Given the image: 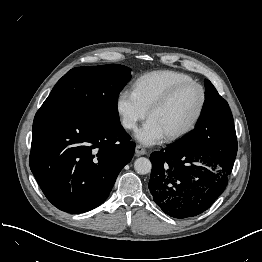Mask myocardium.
Wrapping results in <instances>:
<instances>
[{
    "label": "myocardium",
    "instance_id": "1",
    "mask_svg": "<svg viewBox=\"0 0 262 262\" xmlns=\"http://www.w3.org/2000/svg\"><path fill=\"white\" fill-rule=\"evenodd\" d=\"M189 86L196 87L200 92V102H199L198 108H197L193 118L190 120V122L183 129L165 136L166 141L172 142V141L179 140V139L187 136L189 133H191L195 129V127L197 126V124H198V122H199V120L202 116V113L204 111L205 104H206L207 95H206L205 88L200 83H198L194 80L181 82V83L175 85L174 87H172L168 92H166L148 110V117L150 118L155 112H157L158 110L165 107L180 90H182L186 87H189Z\"/></svg>",
    "mask_w": 262,
    "mask_h": 262
}]
</instances>
